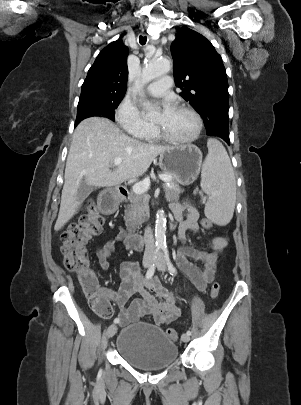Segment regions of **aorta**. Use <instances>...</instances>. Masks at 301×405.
Masks as SVG:
<instances>
[{"label":"aorta","mask_w":301,"mask_h":405,"mask_svg":"<svg viewBox=\"0 0 301 405\" xmlns=\"http://www.w3.org/2000/svg\"><path fill=\"white\" fill-rule=\"evenodd\" d=\"M170 61L167 59L149 60L142 70L141 79L136 83V92L143 97V87L153 79L169 72ZM156 247L163 249L166 246V217L163 210H159L155 223Z\"/></svg>","instance_id":"1"}]
</instances>
